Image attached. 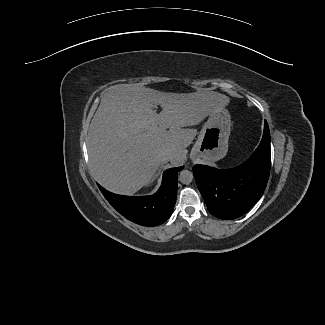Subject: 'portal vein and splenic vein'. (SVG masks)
Instances as JSON below:
<instances>
[{"label": "portal vein and splenic vein", "mask_w": 325, "mask_h": 325, "mask_svg": "<svg viewBox=\"0 0 325 325\" xmlns=\"http://www.w3.org/2000/svg\"><path fill=\"white\" fill-rule=\"evenodd\" d=\"M160 129L162 130V129H164V127L161 126Z\"/></svg>", "instance_id": "18ae733b"}]
</instances>
